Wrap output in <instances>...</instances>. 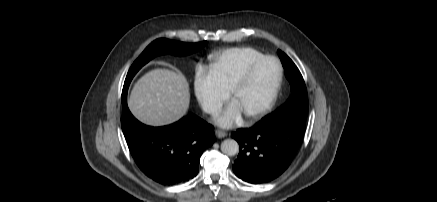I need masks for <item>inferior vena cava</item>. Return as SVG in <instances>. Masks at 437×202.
I'll return each instance as SVG.
<instances>
[{
	"mask_svg": "<svg viewBox=\"0 0 437 202\" xmlns=\"http://www.w3.org/2000/svg\"><path fill=\"white\" fill-rule=\"evenodd\" d=\"M216 110H217V108H215L214 106H208V107L205 109V111H206L207 113H214V112H216Z\"/></svg>",
	"mask_w": 437,
	"mask_h": 202,
	"instance_id": "1",
	"label": "inferior vena cava"
}]
</instances>
